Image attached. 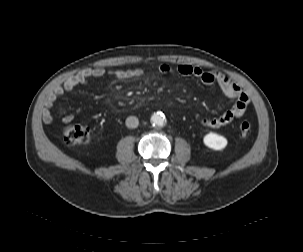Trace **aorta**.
Returning <instances> with one entry per match:
<instances>
[{
	"label": "aorta",
	"mask_w": 303,
	"mask_h": 252,
	"mask_svg": "<svg viewBox=\"0 0 303 252\" xmlns=\"http://www.w3.org/2000/svg\"><path fill=\"white\" fill-rule=\"evenodd\" d=\"M150 121H151L153 126L162 127L166 123V117L162 113H154L151 116Z\"/></svg>",
	"instance_id": "1"
}]
</instances>
